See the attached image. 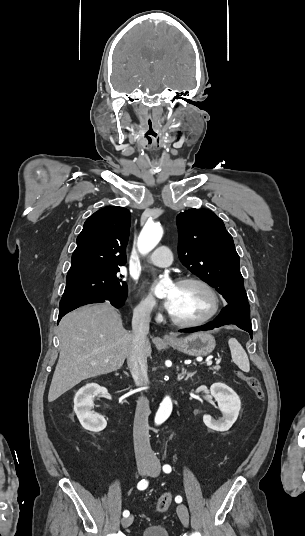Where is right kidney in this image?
<instances>
[{
  "label": "right kidney",
  "mask_w": 305,
  "mask_h": 536,
  "mask_svg": "<svg viewBox=\"0 0 305 536\" xmlns=\"http://www.w3.org/2000/svg\"><path fill=\"white\" fill-rule=\"evenodd\" d=\"M100 392H106L105 388H101L98 384H86L75 394L74 412H76L83 428L90 430V432H101L106 426L104 418L89 412L91 406H93L94 396H97Z\"/></svg>",
  "instance_id": "1"
}]
</instances>
